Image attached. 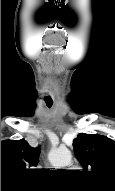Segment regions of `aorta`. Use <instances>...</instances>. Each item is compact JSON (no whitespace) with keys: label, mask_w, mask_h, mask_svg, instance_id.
<instances>
[{"label":"aorta","mask_w":115,"mask_h":191,"mask_svg":"<svg viewBox=\"0 0 115 191\" xmlns=\"http://www.w3.org/2000/svg\"><path fill=\"white\" fill-rule=\"evenodd\" d=\"M49 159L54 166L63 167L72 162V154L69 150H55L51 152Z\"/></svg>","instance_id":"762f6f07"}]
</instances>
